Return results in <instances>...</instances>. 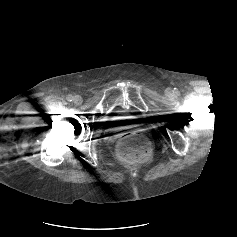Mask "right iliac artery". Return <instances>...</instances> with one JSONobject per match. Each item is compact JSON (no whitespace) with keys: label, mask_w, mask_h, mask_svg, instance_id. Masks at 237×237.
Returning <instances> with one entry per match:
<instances>
[{"label":"right iliac artery","mask_w":237,"mask_h":237,"mask_svg":"<svg viewBox=\"0 0 237 237\" xmlns=\"http://www.w3.org/2000/svg\"><path fill=\"white\" fill-rule=\"evenodd\" d=\"M66 99H67V101L71 102V101L73 100V97H72V95H68V96L66 97Z\"/></svg>","instance_id":"1"}]
</instances>
